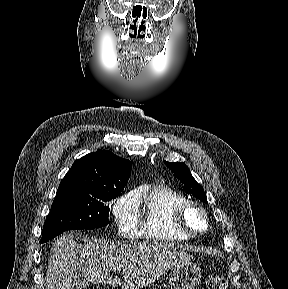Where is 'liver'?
<instances>
[{"label": "liver", "instance_id": "obj_1", "mask_svg": "<svg viewBox=\"0 0 288 289\" xmlns=\"http://www.w3.org/2000/svg\"><path fill=\"white\" fill-rule=\"evenodd\" d=\"M191 259L190 254L165 242L90 240L86 244H77L72 234H64L51 248L46 289H73L72 278L76 271L94 284L139 289ZM116 271L123 272V281L112 278L111 272Z\"/></svg>", "mask_w": 288, "mask_h": 289}]
</instances>
